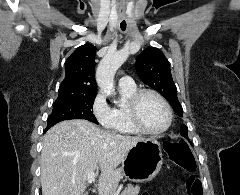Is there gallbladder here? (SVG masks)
Masks as SVG:
<instances>
[{
	"label": "gallbladder",
	"mask_w": 240,
	"mask_h": 195,
	"mask_svg": "<svg viewBox=\"0 0 240 195\" xmlns=\"http://www.w3.org/2000/svg\"><path fill=\"white\" fill-rule=\"evenodd\" d=\"M90 194V191L89 190H86L84 195H89Z\"/></svg>",
	"instance_id": "obj_1"
}]
</instances>
